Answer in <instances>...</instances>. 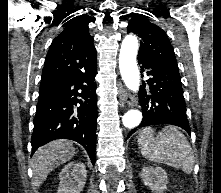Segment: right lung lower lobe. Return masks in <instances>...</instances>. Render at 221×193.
<instances>
[{
	"mask_svg": "<svg viewBox=\"0 0 221 193\" xmlns=\"http://www.w3.org/2000/svg\"><path fill=\"white\" fill-rule=\"evenodd\" d=\"M96 63L89 69L40 85L32 154L52 140L80 143L95 163L97 124Z\"/></svg>",
	"mask_w": 221,
	"mask_h": 193,
	"instance_id": "98d812e1",
	"label": "right lung lower lobe"
}]
</instances>
